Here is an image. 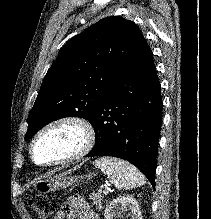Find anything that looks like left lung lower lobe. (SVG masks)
Returning a JSON list of instances; mask_svg holds the SVG:
<instances>
[{
  "label": "left lung lower lobe",
  "instance_id": "0a47b994",
  "mask_svg": "<svg viewBox=\"0 0 211 219\" xmlns=\"http://www.w3.org/2000/svg\"><path fill=\"white\" fill-rule=\"evenodd\" d=\"M161 86L146 43L100 101L90 121L96 143L86 155L113 156L135 165L155 187L162 123Z\"/></svg>",
  "mask_w": 211,
  "mask_h": 219
}]
</instances>
